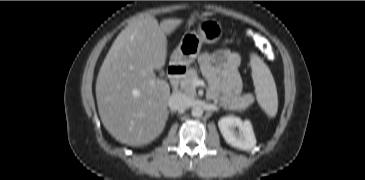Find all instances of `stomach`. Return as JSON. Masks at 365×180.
<instances>
[{
	"instance_id": "stomach-1",
	"label": "stomach",
	"mask_w": 365,
	"mask_h": 180,
	"mask_svg": "<svg viewBox=\"0 0 365 180\" xmlns=\"http://www.w3.org/2000/svg\"><path fill=\"white\" fill-rule=\"evenodd\" d=\"M222 37V26L215 20L202 19L197 31L186 32L173 51L169 64L188 67L200 53L203 43L215 44Z\"/></svg>"
}]
</instances>
